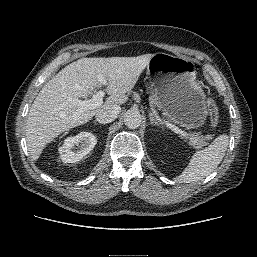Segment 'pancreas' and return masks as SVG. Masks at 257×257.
<instances>
[{"label": "pancreas", "instance_id": "cf45deb5", "mask_svg": "<svg viewBox=\"0 0 257 257\" xmlns=\"http://www.w3.org/2000/svg\"><path fill=\"white\" fill-rule=\"evenodd\" d=\"M150 101L152 104H155L158 106V102L154 97V95L151 96ZM188 138H189V145H191L196 149H200L203 146L207 145L206 138L201 133H196V132L190 133Z\"/></svg>", "mask_w": 257, "mask_h": 257}]
</instances>
